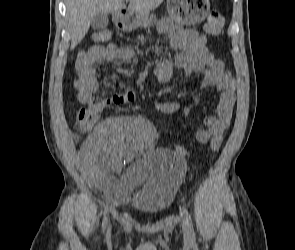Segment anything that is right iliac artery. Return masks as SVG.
Returning <instances> with one entry per match:
<instances>
[{
	"label": "right iliac artery",
	"instance_id": "1",
	"mask_svg": "<svg viewBox=\"0 0 295 250\" xmlns=\"http://www.w3.org/2000/svg\"><path fill=\"white\" fill-rule=\"evenodd\" d=\"M106 223H107V215H104L103 223H102V229L104 230L106 228Z\"/></svg>",
	"mask_w": 295,
	"mask_h": 250
}]
</instances>
